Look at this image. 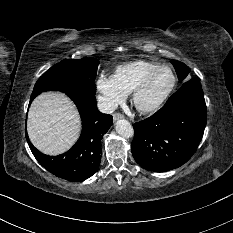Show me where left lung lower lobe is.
<instances>
[{
	"instance_id": "obj_1",
	"label": "left lung lower lobe",
	"mask_w": 233,
	"mask_h": 233,
	"mask_svg": "<svg viewBox=\"0 0 233 233\" xmlns=\"http://www.w3.org/2000/svg\"><path fill=\"white\" fill-rule=\"evenodd\" d=\"M206 122L201 84L191 79L155 114L134 124L133 157L154 172L178 168L195 153Z\"/></svg>"
}]
</instances>
